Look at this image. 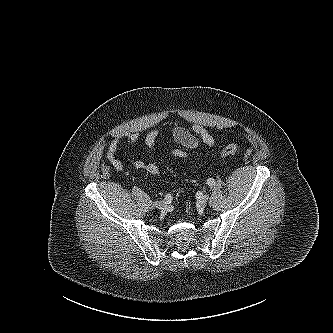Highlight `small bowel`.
I'll return each instance as SVG.
<instances>
[{
	"label": "small bowel",
	"mask_w": 333,
	"mask_h": 333,
	"mask_svg": "<svg viewBox=\"0 0 333 333\" xmlns=\"http://www.w3.org/2000/svg\"><path fill=\"white\" fill-rule=\"evenodd\" d=\"M158 133L156 128H151L148 131L145 137V145L148 152H152L155 149ZM171 138L183 147L192 150L199 147V139L209 147H213L216 143L215 138L199 123L192 124L191 131L182 126L175 127L171 132ZM138 139L139 135L137 133H131L123 142L119 137L111 139L106 156L116 171H121L123 169V162L117 157L119 148L121 146H131L135 144ZM129 164L138 170H145L146 168V164L141 160H130Z\"/></svg>",
	"instance_id": "small-bowel-1"
}]
</instances>
